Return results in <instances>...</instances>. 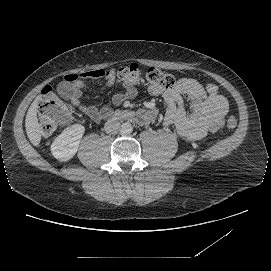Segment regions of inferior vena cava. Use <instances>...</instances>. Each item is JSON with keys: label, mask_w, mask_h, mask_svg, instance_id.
I'll list each match as a JSON object with an SVG mask.
<instances>
[{"label": "inferior vena cava", "mask_w": 271, "mask_h": 271, "mask_svg": "<svg viewBox=\"0 0 271 271\" xmlns=\"http://www.w3.org/2000/svg\"><path fill=\"white\" fill-rule=\"evenodd\" d=\"M121 130L120 121L116 118H112L105 124V131L108 134H118Z\"/></svg>", "instance_id": "obj_1"}]
</instances>
